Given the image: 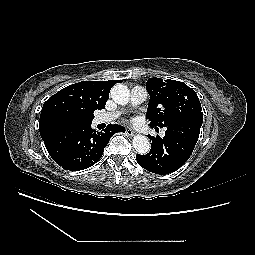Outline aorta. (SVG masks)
<instances>
[{
	"instance_id": "obj_1",
	"label": "aorta",
	"mask_w": 255,
	"mask_h": 255,
	"mask_svg": "<svg viewBox=\"0 0 255 255\" xmlns=\"http://www.w3.org/2000/svg\"><path fill=\"white\" fill-rule=\"evenodd\" d=\"M110 95L111 98L119 105H126L130 97L129 89L123 84L114 85L111 89ZM132 144L139 154H147L150 151V142L145 135H135L133 137Z\"/></svg>"
}]
</instances>
